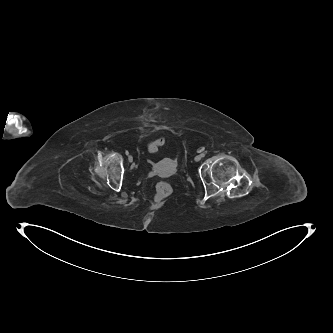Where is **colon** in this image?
Returning <instances> with one entry per match:
<instances>
[{"instance_id": "colon-1", "label": "colon", "mask_w": 333, "mask_h": 333, "mask_svg": "<svg viewBox=\"0 0 333 333\" xmlns=\"http://www.w3.org/2000/svg\"><path fill=\"white\" fill-rule=\"evenodd\" d=\"M165 143V138L160 136L148 143L147 149L150 153H155ZM173 190L172 187L166 182H159L156 185V191L154 195V202L157 205H161L168 197L171 196Z\"/></svg>"}]
</instances>
